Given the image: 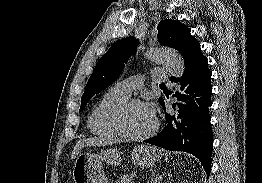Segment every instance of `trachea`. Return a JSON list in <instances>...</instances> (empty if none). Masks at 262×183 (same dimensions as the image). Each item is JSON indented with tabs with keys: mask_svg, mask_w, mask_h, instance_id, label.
<instances>
[{
	"mask_svg": "<svg viewBox=\"0 0 262 183\" xmlns=\"http://www.w3.org/2000/svg\"><path fill=\"white\" fill-rule=\"evenodd\" d=\"M160 86H165V84L162 83V84H160Z\"/></svg>",
	"mask_w": 262,
	"mask_h": 183,
	"instance_id": "trachea-1",
	"label": "trachea"
}]
</instances>
